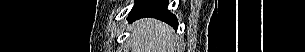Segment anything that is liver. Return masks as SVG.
I'll return each instance as SVG.
<instances>
[{
    "label": "liver",
    "mask_w": 305,
    "mask_h": 52,
    "mask_svg": "<svg viewBox=\"0 0 305 52\" xmlns=\"http://www.w3.org/2000/svg\"><path fill=\"white\" fill-rule=\"evenodd\" d=\"M130 29L128 46L131 52H176V38L167 24L155 19H141Z\"/></svg>",
    "instance_id": "1"
}]
</instances>
